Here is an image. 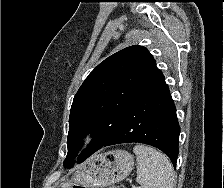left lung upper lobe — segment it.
Wrapping results in <instances>:
<instances>
[{"instance_id": "5c2ea615", "label": "left lung upper lobe", "mask_w": 224, "mask_h": 188, "mask_svg": "<svg viewBox=\"0 0 224 188\" xmlns=\"http://www.w3.org/2000/svg\"><path fill=\"white\" fill-rule=\"evenodd\" d=\"M163 78L155 59L143 46L127 47L101 62L74 97L64 165H73L82 139L88 134L93 141L79 155L78 163L99 150L133 102Z\"/></svg>"}]
</instances>
